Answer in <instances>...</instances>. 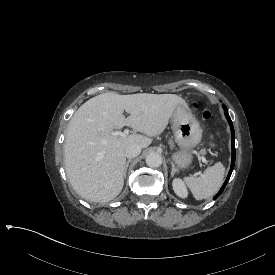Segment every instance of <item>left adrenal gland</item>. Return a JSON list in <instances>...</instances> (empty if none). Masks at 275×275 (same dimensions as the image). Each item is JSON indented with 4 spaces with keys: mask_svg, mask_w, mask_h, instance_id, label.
I'll use <instances>...</instances> for the list:
<instances>
[{
    "mask_svg": "<svg viewBox=\"0 0 275 275\" xmlns=\"http://www.w3.org/2000/svg\"><path fill=\"white\" fill-rule=\"evenodd\" d=\"M171 165H172L171 177H173V176H174V174H175L176 172H178V169H177V168H175V165H174V163H173V162H171Z\"/></svg>",
    "mask_w": 275,
    "mask_h": 275,
    "instance_id": "1",
    "label": "left adrenal gland"
}]
</instances>
